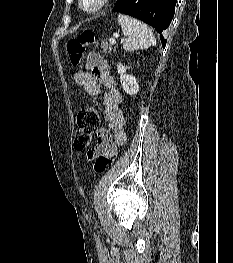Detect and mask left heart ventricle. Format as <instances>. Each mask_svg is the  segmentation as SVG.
Segmentation results:
<instances>
[{"label":"left heart ventricle","instance_id":"left-heart-ventricle-1","mask_svg":"<svg viewBox=\"0 0 233 263\" xmlns=\"http://www.w3.org/2000/svg\"><path fill=\"white\" fill-rule=\"evenodd\" d=\"M94 3V0H88V5H92Z\"/></svg>","mask_w":233,"mask_h":263}]
</instances>
